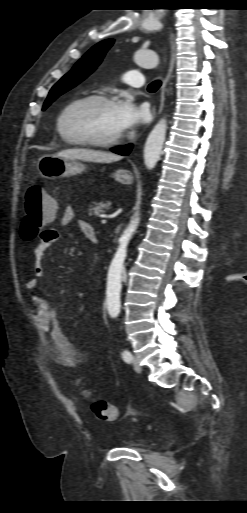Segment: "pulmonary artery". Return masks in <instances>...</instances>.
Returning <instances> with one entry per match:
<instances>
[{
	"instance_id": "obj_1",
	"label": "pulmonary artery",
	"mask_w": 247,
	"mask_h": 513,
	"mask_svg": "<svg viewBox=\"0 0 247 513\" xmlns=\"http://www.w3.org/2000/svg\"><path fill=\"white\" fill-rule=\"evenodd\" d=\"M123 79L129 85L141 87L144 85V78L138 70H128L124 73Z\"/></svg>"
}]
</instances>
